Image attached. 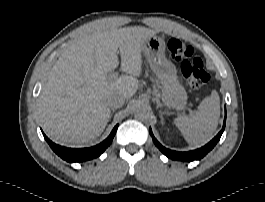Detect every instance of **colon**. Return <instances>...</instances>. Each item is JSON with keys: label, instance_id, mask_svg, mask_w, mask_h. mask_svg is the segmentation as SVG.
Listing matches in <instances>:
<instances>
[{"label": "colon", "instance_id": "5ec220e1", "mask_svg": "<svg viewBox=\"0 0 265 202\" xmlns=\"http://www.w3.org/2000/svg\"><path fill=\"white\" fill-rule=\"evenodd\" d=\"M171 57L179 64L181 74L189 87L199 89L209 79L200 58L194 56V48L179 40L171 38L168 41Z\"/></svg>", "mask_w": 265, "mask_h": 202}]
</instances>
